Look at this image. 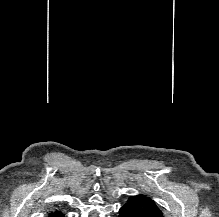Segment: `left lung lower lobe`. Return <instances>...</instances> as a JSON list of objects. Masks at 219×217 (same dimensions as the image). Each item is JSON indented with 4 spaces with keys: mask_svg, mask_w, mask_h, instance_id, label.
I'll return each mask as SVG.
<instances>
[{
    "mask_svg": "<svg viewBox=\"0 0 219 217\" xmlns=\"http://www.w3.org/2000/svg\"><path fill=\"white\" fill-rule=\"evenodd\" d=\"M119 217H149L144 214L137 205L132 202H127L124 206H122L119 210Z\"/></svg>",
    "mask_w": 219,
    "mask_h": 217,
    "instance_id": "1",
    "label": "left lung lower lobe"
}]
</instances>
